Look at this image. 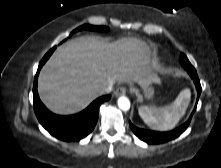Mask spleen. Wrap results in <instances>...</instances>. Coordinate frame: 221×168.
Wrapping results in <instances>:
<instances>
[{
  "label": "spleen",
  "instance_id": "spleen-1",
  "mask_svg": "<svg viewBox=\"0 0 221 168\" xmlns=\"http://www.w3.org/2000/svg\"><path fill=\"white\" fill-rule=\"evenodd\" d=\"M191 92L189 89L182 90L177 98L168 106L153 107L141 106L138 109L142 120L151 128L160 131L173 129L189 105Z\"/></svg>",
  "mask_w": 221,
  "mask_h": 168
}]
</instances>
